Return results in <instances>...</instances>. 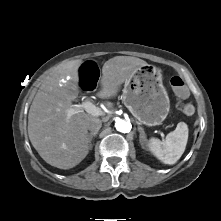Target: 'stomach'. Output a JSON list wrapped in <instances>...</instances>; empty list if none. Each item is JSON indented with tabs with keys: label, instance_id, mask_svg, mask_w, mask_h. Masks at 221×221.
<instances>
[{
	"label": "stomach",
	"instance_id": "obj_1",
	"mask_svg": "<svg viewBox=\"0 0 221 221\" xmlns=\"http://www.w3.org/2000/svg\"><path fill=\"white\" fill-rule=\"evenodd\" d=\"M123 103L142 124H161L170 110V100L163 85L161 71L152 65L138 68L125 82Z\"/></svg>",
	"mask_w": 221,
	"mask_h": 221
}]
</instances>
